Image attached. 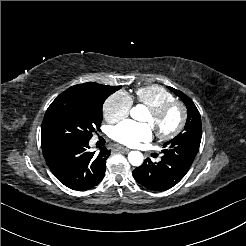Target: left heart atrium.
<instances>
[{
	"label": "left heart atrium",
	"instance_id": "left-heart-atrium-1",
	"mask_svg": "<svg viewBox=\"0 0 246 246\" xmlns=\"http://www.w3.org/2000/svg\"><path fill=\"white\" fill-rule=\"evenodd\" d=\"M153 136V129L148 124L125 121L113 128V138L119 143L136 146L148 141Z\"/></svg>",
	"mask_w": 246,
	"mask_h": 246
}]
</instances>
